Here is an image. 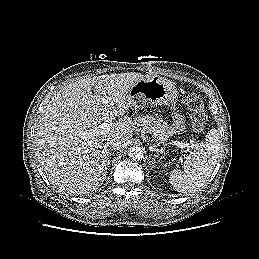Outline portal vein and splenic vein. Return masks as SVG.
Returning <instances> with one entry per match:
<instances>
[{
  "instance_id": "obj_1",
  "label": "portal vein and splenic vein",
  "mask_w": 259,
  "mask_h": 259,
  "mask_svg": "<svg viewBox=\"0 0 259 259\" xmlns=\"http://www.w3.org/2000/svg\"><path fill=\"white\" fill-rule=\"evenodd\" d=\"M113 127V123L112 122H105L102 123L101 125L88 130L85 134L93 137L99 133L102 132H108L110 131V129ZM180 148H200L202 145L201 144H194V141H191L190 143H182V142H177L176 143Z\"/></svg>"
}]
</instances>
